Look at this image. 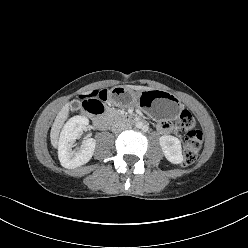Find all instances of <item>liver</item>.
Returning <instances> with one entry per match:
<instances>
[{
  "label": "liver",
  "instance_id": "6515ba94",
  "mask_svg": "<svg viewBox=\"0 0 248 248\" xmlns=\"http://www.w3.org/2000/svg\"><path fill=\"white\" fill-rule=\"evenodd\" d=\"M127 87L137 91L151 90V88L145 86L128 85ZM68 114H69V103L63 106V108L59 111L51 128L50 139L52 146L55 148L58 146L59 133L65 120L68 117Z\"/></svg>",
  "mask_w": 248,
  "mask_h": 248
}]
</instances>
